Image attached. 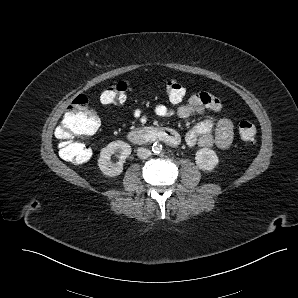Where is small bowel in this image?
I'll return each instance as SVG.
<instances>
[{"label": "small bowel", "instance_id": "1", "mask_svg": "<svg viewBox=\"0 0 298 298\" xmlns=\"http://www.w3.org/2000/svg\"><path fill=\"white\" fill-rule=\"evenodd\" d=\"M206 110L221 113L223 105L220 100L206 92L192 95L186 102L175 108L164 104H157L154 113L159 117L189 118L194 114L203 113ZM133 117L140 123H146L148 117L142 109H136ZM233 140V125L231 121L222 116L218 120L206 118L191 128L185 135V141L189 146L198 144L201 147L216 146L221 149L228 148Z\"/></svg>", "mask_w": 298, "mask_h": 298}]
</instances>
